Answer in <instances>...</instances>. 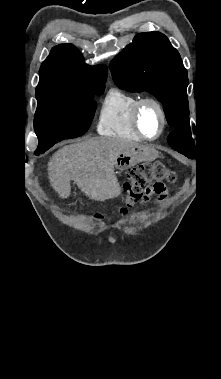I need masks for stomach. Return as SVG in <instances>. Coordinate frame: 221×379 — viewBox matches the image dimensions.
I'll return each instance as SVG.
<instances>
[{"label":"stomach","instance_id":"0dacf381","mask_svg":"<svg viewBox=\"0 0 221 379\" xmlns=\"http://www.w3.org/2000/svg\"><path fill=\"white\" fill-rule=\"evenodd\" d=\"M158 156V152L144 145H137L123 151L117 158L115 167L118 171H123L135 166L140 162H150Z\"/></svg>","mask_w":221,"mask_h":379}]
</instances>
